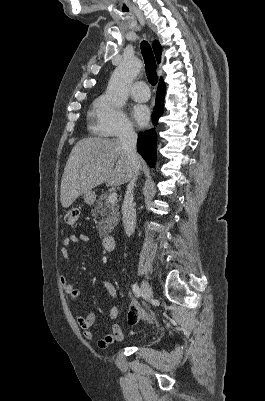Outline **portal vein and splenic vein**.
I'll return each mask as SVG.
<instances>
[{
  "mask_svg": "<svg viewBox=\"0 0 265 401\" xmlns=\"http://www.w3.org/2000/svg\"><path fill=\"white\" fill-rule=\"evenodd\" d=\"M110 203H114V201H116L117 198V192H111V194H109L108 196Z\"/></svg>",
  "mask_w": 265,
  "mask_h": 401,
  "instance_id": "portal-vein-and-splenic-vein-1",
  "label": "portal vein and splenic vein"
}]
</instances>
